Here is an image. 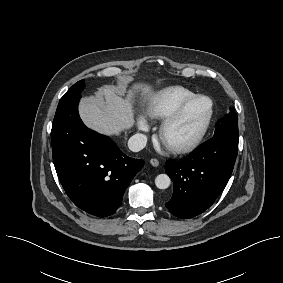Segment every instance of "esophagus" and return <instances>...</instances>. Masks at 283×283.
Wrapping results in <instances>:
<instances>
[{"label": "esophagus", "instance_id": "1", "mask_svg": "<svg viewBox=\"0 0 283 283\" xmlns=\"http://www.w3.org/2000/svg\"><path fill=\"white\" fill-rule=\"evenodd\" d=\"M150 164H151L152 166H154V167H157V166L159 165V161H158L157 159H155V158H152V159L150 160Z\"/></svg>", "mask_w": 283, "mask_h": 283}]
</instances>
